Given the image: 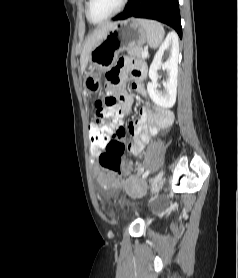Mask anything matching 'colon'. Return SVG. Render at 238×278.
<instances>
[{
    "instance_id": "obj_1",
    "label": "colon",
    "mask_w": 238,
    "mask_h": 278,
    "mask_svg": "<svg viewBox=\"0 0 238 278\" xmlns=\"http://www.w3.org/2000/svg\"><path fill=\"white\" fill-rule=\"evenodd\" d=\"M107 77V76H106ZM107 81V80H106ZM108 86L110 81H107ZM95 107L97 110L96 115L100 119H107V123L103 124H88V134L93 135L88 137V142H91L92 156H100L99 162L101 166L113 174H118L121 165V156L127 145L124 142L120 144H109L110 136L115 132L114 128L119 127V111L120 104L118 99L108 91L106 95L96 101ZM105 149V150H104Z\"/></svg>"
}]
</instances>
